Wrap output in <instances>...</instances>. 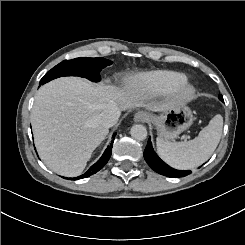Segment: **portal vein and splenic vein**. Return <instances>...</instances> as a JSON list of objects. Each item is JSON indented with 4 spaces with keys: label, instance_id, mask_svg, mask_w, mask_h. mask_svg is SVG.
<instances>
[{
    "label": "portal vein and splenic vein",
    "instance_id": "portal-vein-and-splenic-vein-1",
    "mask_svg": "<svg viewBox=\"0 0 245 245\" xmlns=\"http://www.w3.org/2000/svg\"><path fill=\"white\" fill-rule=\"evenodd\" d=\"M186 137H187V135H183V136H182V139H185Z\"/></svg>",
    "mask_w": 245,
    "mask_h": 245
}]
</instances>
